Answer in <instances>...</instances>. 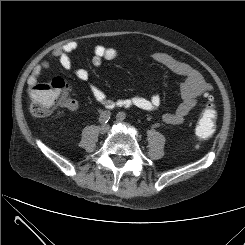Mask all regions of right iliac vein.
Here are the masks:
<instances>
[{
	"mask_svg": "<svg viewBox=\"0 0 245 245\" xmlns=\"http://www.w3.org/2000/svg\"><path fill=\"white\" fill-rule=\"evenodd\" d=\"M100 133L101 134H105V133H107L108 132V130H109V125L108 124H103L101 127H100Z\"/></svg>",
	"mask_w": 245,
	"mask_h": 245,
	"instance_id": "1",
	"label": "right iliac vein"
}]
</instances>
